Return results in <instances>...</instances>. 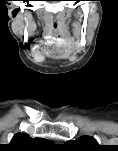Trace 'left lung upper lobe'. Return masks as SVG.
Returning <instances> with one entry per match:
<instances>
[{"label": "left lung upper lobe", "mask_w": 118, "mask_h": 151, "mask_svg": "<svg viewBox=\"0 0 118 151\" xmlns=\"http://www.w3.org/2000/svg\"><path fill=\"white\" fill-rule=\"evenodd\" d=\"M66 145L77 150H91L98 147L96 140L89 136H83L75 141H68Z\"/></svg>", "instance_id": "left-lung-upper-lobe-1"}]
</instances>
